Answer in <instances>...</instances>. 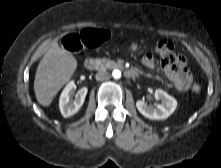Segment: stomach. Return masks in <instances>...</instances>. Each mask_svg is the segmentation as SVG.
Returning <instances> with one entry per match:
<instances>
[{
	"label": "stomach",
	"mask_w": 221,
	"mask_h": 168,
	"mask_svg": "<svg viewBox=\"0 0 221 168\" xmlns=\"http://www.w3.org/2000/svg\"><path fill=\"white\" fill-rule=\"evenodd\" d=\"M129 49L132 50V51H135L138 49L137 45L135 43H132L130 46H129Z\"/></svg>",
	"instance_id": "1"
}]
</instances>
